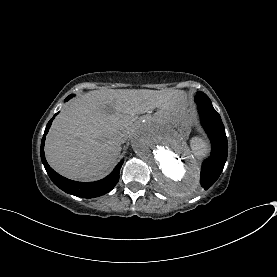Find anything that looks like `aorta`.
<instances>
[{"instance_id": "1", "label": "aorta", "mask_w": 277, "mask_h": 277, "mask_svg": "<svg viewBox=\"0 0 277 277\" xmlns=\"http://www.w3.org/2000/svg\"><path fill=\"white\" fill-rule=\"evenodd\" d=\"M131 143L165 192L185 197L197 190L198 166L186 144L170 127L152 118L145 119L134 127Z\"/></svg>"}]
</instances>
